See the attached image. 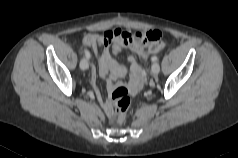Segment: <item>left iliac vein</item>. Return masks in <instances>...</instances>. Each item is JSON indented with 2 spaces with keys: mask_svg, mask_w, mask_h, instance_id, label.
<instances>
[{
  "mask_svg": "<svg viewBox=\"0 0 238 158\" xmlns=\"http://www.w3.org/2000/svg\"><path fill=\"white\" fill-rule=\"evenodd\" d=\"M160 71V65L158 62H154L151 66V73L153 75H157Z\"/></svg>",
  "mask_w": 238,
  "mask_h": 158,
  "instance_id": "4c4485c4",
  "label": "left iliac vein"
}]
</instances>
